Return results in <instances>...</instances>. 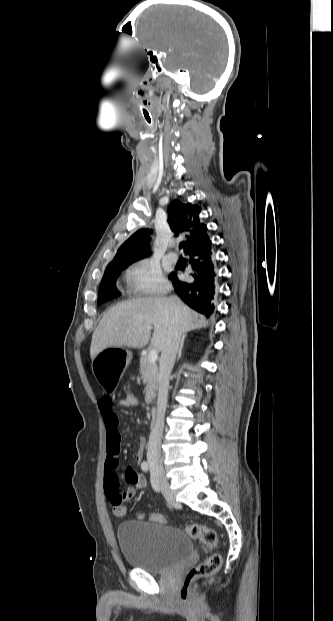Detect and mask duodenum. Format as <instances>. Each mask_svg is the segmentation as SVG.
I'll list each match as a JSON object with an SVG mask.
<instances>
[{"label": "duodenum", "mask_w": 333, "mask_h": 621, "mask_svg": "<svg viewBox=\"0 0 333 621\" xmlns=\"http://www.w3.org/2000/svg\"><path fill=\"white\" fill-rule=\"evenodd\" d=\"M150 416H151L150 426H151V427H153V426L155 425L156 418H157V413H156V411H154V410H153V411L151 412V415H150Z\"/></svg>", "instance_id": "1"}]
</instances>
